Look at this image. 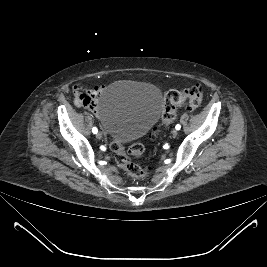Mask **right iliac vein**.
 I'll use <instances>...</instances> for the list:
<instances>
[{
    "instance_id": "63e3f726",
    "label": "right iliac vein",
    "mask_w": 267,
    "mask_h": 267,
    "mask_svg": "<svg viewBox=\"0 0 267 267\" xmlns=\"http://www.w3.org/2000/svg\"><path fill=\"white\" fill-rule=\"evenodd\" d=\"M96 137H97V139L100 140L102 138V133L101 132H97L96 133Z\"/></svg>"
}]
</instances>
